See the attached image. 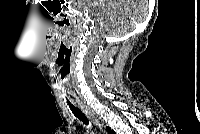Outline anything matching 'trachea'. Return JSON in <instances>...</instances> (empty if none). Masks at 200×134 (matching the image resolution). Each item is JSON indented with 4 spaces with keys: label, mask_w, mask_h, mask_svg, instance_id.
<instances>
[{
    "label": "trachea",
    "mask_w": 200,
    "mask_h": 134,
    "mask_svg": "<svg viewBox=\"0 0 200 134\" xmlns=\"http://www.w3.org/2000/svg\"><path fill=\"white\" fill-rule=\"evenodd\" d=\"M68 105L71 109V111L73 112V114L80 120L82 121L85 125L89 124V121L87 120V118L84 116V114L78 110L73 104H71L70 102H68Z\"/></svg>",
    "instance_id": "1"
}]
</instances>
